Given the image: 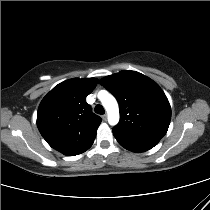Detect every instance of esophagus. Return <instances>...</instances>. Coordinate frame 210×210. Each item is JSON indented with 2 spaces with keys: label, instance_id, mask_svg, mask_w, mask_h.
Masks as SVG:
<instances>
[{
  "label": "esophagus",
  "instance_id": "obj_1",
  "mask_svg": "<svg viewBox=\"0 0 210 210\" xmlns=\"http://www.w3.org/2000/svg\"><path fill=\"white\" fill-rule=\"evenodd\" d=\"M101 117H102V120L103 121H106L107 120V115L106 114L102 115Z\"/></svg>",
  "mask_w": 210,
  "mask_h": 210
}]
</instances>
